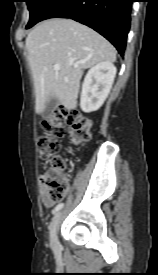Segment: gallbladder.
<instances>
[{
    "mask_svg": "<svg viewBox=\"0 0 158 275\" xmlns=\"http://www.w3.org/2000/svg\"><path fill=\"white\" fill-rule=\"evenodd\" d=\"M57 105H58V100L55 97L51 98L46 103V107L42 113V116L48 117L56 109Z\"/></svg>",
    "mask_w": 158,
    "mask_h": 275,
    "instance_id": "gallbladder-1",
    "label": "gallbladder"
}]
</instances>
